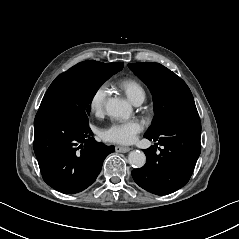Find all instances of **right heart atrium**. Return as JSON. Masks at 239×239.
I'll use <instances>...</instances> for the list:
<instances>
[{"label":"right heart atrium","mask_w":239,"mask_h":239,"mask_svg":"<svg viewBox=\"0 0 239 239\" xmlns=\"http://www.w3.org/2000/svg\"><path fill=\"white\" fill-rule=\"evenodd\" d=\"M108 92L109 87L106 83H101L92 91L89 98V109L93 114L98 115L104 111Z\"/></svg>","instance_id":"d8ad5b80"}]
</instances>
